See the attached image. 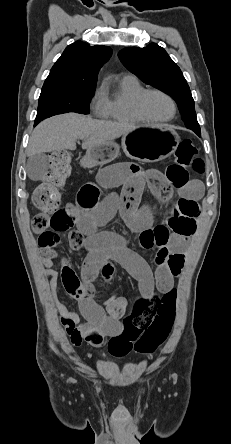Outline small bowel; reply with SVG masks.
<instances>
[{
    "label": "small bowel",
    "instance_id": "c3829d8e",
    "mask_svg": "<svg viewBox=\"0 0 231 444\" xmlns=\"http://www.w3.org/2000/svg\"><path fill=\"white\" fill-rule=\"evenodd\" d=\"M146 185L155 197L162 200H168L173 189L179 192L181 199L195 203L203 194L200 181H191L184 188H176L156 171L122 162L102 168L96 175V183L82 186L76 203L66 207L76 225V229L68 235L69 246L72 249L83 247L87 252L81 269L83 292L78 297L80 314L68 309L59 299L58 272L53 266V253L49 248H44L41 253V264L46 268L44 275L49 282L52 303L74 345L86 341L100 347L108 337L123 331L122 320L127 313V302L121 297L108 301L105 306L95 301L93 281L99 273L109 281L114 273V263H118L138 281L140 296L147 299L156 290L161 293L171 291L175 277L183 268L189 237L173 232L159 237L155 233V229L151 228L150 209L139 207ZM119 186H122L120 194L111 193L100 199L99 187ZM116 213H120L125 223L140 234V245L144 250L157 248L154 270L140 254L127 247L125 237L99 229ZM52 237L57 240V234H52Z\"/></svg>",
    "mask_w": 231,
    "mask_h": 444
}]
</instances>
